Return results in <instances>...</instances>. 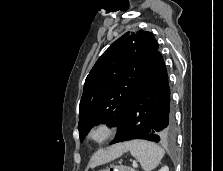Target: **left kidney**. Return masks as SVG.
Instances as JSON below:
<instances>
[{
    "label": "left kidney",
    "instance_id": "obj_1",
    "mask_svg": "<svg viewBox=\"0 0 223 171\" xmlns=\"http://www.w3.org/2000/svg\"><path fill=\"white\" fill-rule=\"evenodd\" d=\"M158 171H169V168H168V166H164V167H162L160 170H158Z\"/></svg>",
    "mask_w": 223,
    "mask_h": 171
}]
</instances>
